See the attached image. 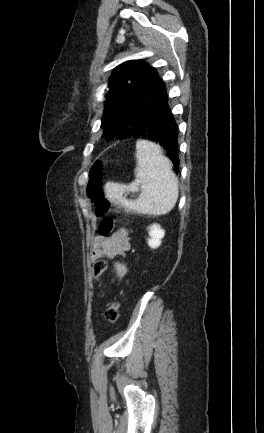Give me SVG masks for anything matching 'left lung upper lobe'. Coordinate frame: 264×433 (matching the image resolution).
I'll use <instances>...</instances> for the list:
<instances>
[{"label":"left lung upper lobe","instance_id":"obj_1","mask_svg":"<svg viewBox=\"0 0 264 433\" xmlns=\"http://www.w3.org/2000/svg\"><path fill=\"white\" fill-rule=\"evenodd\" d=\"M158 78L153 67L142 60L127 61L117 66L109 79L101 127L107 139H126L120 120L137 98Z\"/></svg>","mask_w":264,"mask_h":433}]
</instances>
